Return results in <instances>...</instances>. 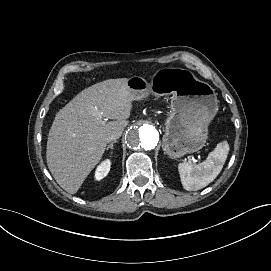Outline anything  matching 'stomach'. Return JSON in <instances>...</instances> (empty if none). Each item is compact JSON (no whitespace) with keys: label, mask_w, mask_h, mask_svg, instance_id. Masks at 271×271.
<instances>
[{"label":"stomach","mask_w":271,"mask_h":271,"mask_svg":"<svg viewBox=\"0 0 271 271\" xmlns=\"http://www.w3.org/2000/svg\"><path fill=\"white\" fill-rule=\"evenodd\" d=\"M128 87L134 98L143 97L149 89L139 77L131 78ZM152 90L157 95L173 94L172 112L164 121L163 152L177 159L200 151L219 110L214 89L186 70L163 69L153 77Z\"/></svg>","instance_id":"1"}]
</instances>
